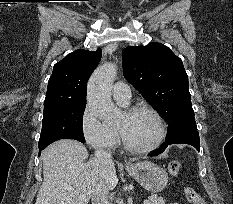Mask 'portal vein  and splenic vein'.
I'll return each mask as SVG.
<instances>
[{"instance_id":"portal-vein-and-splenic-vein-1","label":"portal vein and splenic vein","mask_w":233,"mask_h":204,"mask_svg":"<svg viewBox=\"0 0 233 204\" xmlns=\"http://www.w3.org/2000/svg\"><path fill=\"white\" fill-rule=\"evenodd\" d=\"M67 189H69L70 191H72V190H73V188H72V187H70V186H69V187H67ZM144 204H150V202H149L148 200H145V201H144Z\"/></svg>"}]
</instances>
